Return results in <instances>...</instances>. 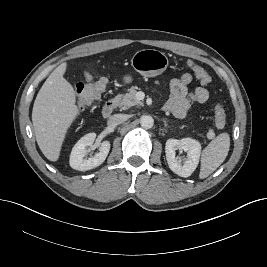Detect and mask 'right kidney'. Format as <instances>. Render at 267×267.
<instances>
[{
    "label": "right kidney",
    "mask_w": 267,
    "mask_h": 267,
    "mask_svg": "<svg viewBox=\"0 0 267 267\" xmlns=\"http://www.w3.org/2000/svg\"><path fill=\"white\" fill-rule=\"evenodd\" d=\"M96 138L95 133H89L83 136L73 147L71 154H70V166L79 171H87L98 167L101 165L109 151H110V142L105 140L101 143L99 147V152L95 154V156H91L89 158H85L87 154L86 148L91 146Z\"/></svg>",
    "instance_id": "1"
}]
</instances>
